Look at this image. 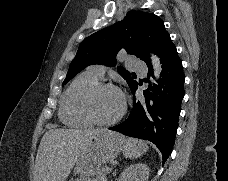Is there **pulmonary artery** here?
<instances>
[{"instance_id": "1", "label": "pulmonary artery", "mask_w": 228, "mask_h": 181, "mask_svg": "<svg viewBox=\"0 0 228 181\" xmlns=\"http://www.w3.org/2000/svg\"><path fill=\"white\" fill-rule=\"evenodd\" d=\"M126 62H137V57H126ZM101 65V64H100ZM100 65H91V70H87V75H94L97 78H102L103 74L98 73L97 70H100ZM135 71H147V66H135Z\"/></svg>"}]
</instances>
